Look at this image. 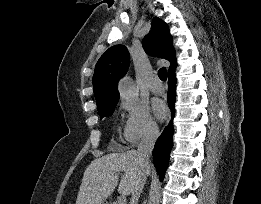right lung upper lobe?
Returning <instances> with one entry per match:
<instances>
[{"mask_svg":"<svg viewBox=\"0 0 261 204\" xmlns=\"http://www.w3.org/2000/svg\"><path fill=\"white\" fill-rule=\"evenodd\" d=\"M144 50L152 56L167 59L171 62L169 71L176 67L173 39L167 24L155 17L150 32L142 41ZM130 56L123 45L110 47L98 60L93 75L94 95L97 106L118 101V81L128 70Z\"/></svg>","mask_w":261,"mask_h":204,"instance_id":"cb5924a9","label":"right lung upper lobe"}]
</instances>
